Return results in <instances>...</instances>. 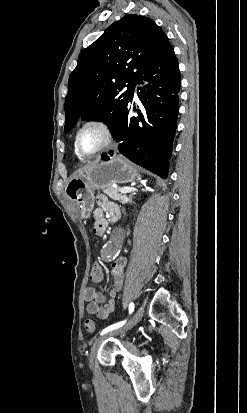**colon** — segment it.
I'll use <instances>...</instances> for the list:
<instances>
[{
	"mask_svg": "<svg viewBox=\"0 0 247 413\" xmlns=\"http://www.w3.org/2000/svg\"><path fill=\"white\" fill-rule=\"evenodd\" d=\"M101 277V264L93 263L92 267L88 268V279L96 280ZM84 329L86 332L92 333L96 330L95 321L91 318H86L84 320Z\"/></svg>",
	"mask_w": 247,
	"mask_h": 413,
	"instance_id": "colon-1",
	"label": "colon"
}]
</instances>
